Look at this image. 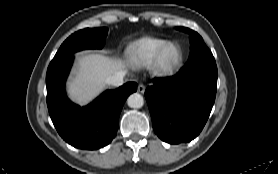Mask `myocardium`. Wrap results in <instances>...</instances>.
<instances>
[{
  "label": "myocardium",
  "instance_id": "myocardium-1",
  "mask_svg": "<svg viewBox=\"0 0 278 174\" xmlns=\"http://www.w3.org/2000/svg\"><path fill=\"white\" fill-rule=\"evenodd\" d=\"M170 47H176L178 49V57L177 59L170 65H166L163 61V56L166 52V50ZM183 62V51L181 46L173 41L167 42L164 44L156 53L154 56V59L152 61V68L153 70L161 75V76H170L173 75L182 65Z\"/></svg>",
  "mask_w": 278,
  "mask_h": 174
}]
</instances>
